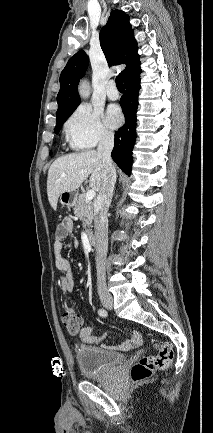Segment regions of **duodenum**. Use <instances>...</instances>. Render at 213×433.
<instances>
[{
    "mask_svg": "<svg viewBox=\"0 0 213 433\" xmlns=\"http://www.w3.org/2000/svg\"><path fill=\"white\" fill-rule=\"evenodd\" d=\"M88 241H89L90 245H92V246L97 245V238H96L95 234L90 233L88 235Z\"/></svg>",
    "mask_w": 213,
    "mask_h": 433,
    "instance_id": "410a0bca",
    "label": "duodenum"
}]
</instances>
